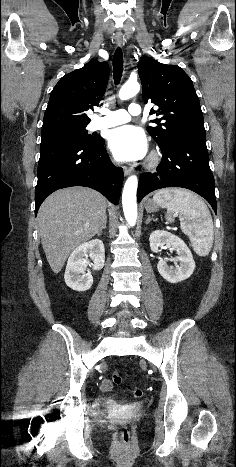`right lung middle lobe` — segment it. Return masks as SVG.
Here are the masks:
<instances>
[{
  "mask_svg": "<svg viewBox=\"0 0 236 467\" xmlns=\"http://www.w3.org/2000/svg\"><path fill=\"white\" fill-rule=\"evenodd\" d=\"M41 146L62 141H76L83 144L92 145L99 140V137L88 134L85 126H62L41 130Z\"/></svg>",
  "mask_w": 236,
  "mask_h": 467,
  "instance_id": "right-lung-middle-lobe-1",
  "label": "right lung middle lobe"
}]
</instances>
